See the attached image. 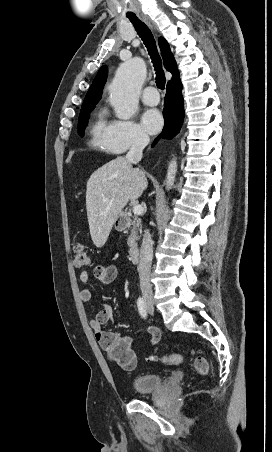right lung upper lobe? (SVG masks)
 <instances>
[{
	"instance_id": "obj_1",
	"label": "right lung upper lobe",
	"mask_w": 272,
	"mask_h": 452,
	"mask_svg": "<svg viewBox=\"0 0 272 452\" xmlns=\"http://www.w3.org/2000/svg\"><path fill=\"white\" fill-rule=\"evenodd\" d=\"M158 43H159L161 55H162V58L164 61V67L169 72L172 73V79L170 81H168V83H167V84H170L172 82L179 80V72L177 70L176 62L170 51L167 41L164 38H159ZM106 79H107V67L103 66L100 68L95 79L93 80V83H92L82 105L98 103V101L101 98Z\"/></svg>"
}]
</instances>
